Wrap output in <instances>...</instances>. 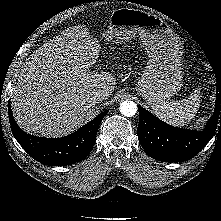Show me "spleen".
<instances>
[{
	"mask_svg": "<svg viewBox=\"0 0 221 221\" xmlns=\"http://www.w3.org/2000/svg\"><path fill=\"white\" fill-rule=\"evenodd\" d=\"M200 102V91L196 89L186 99L156 105L152 108L155 114L166 123L183 127L189 124L198 112Z\"/></svg>",
	"mask_w": 221,
	"mask_h": 221,
	"instance_id": "spleen-1",
	"label": "spleen"
}]
</instances>
